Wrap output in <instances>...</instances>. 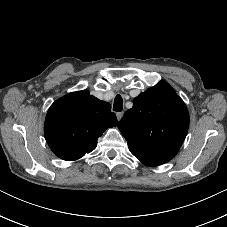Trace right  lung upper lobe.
I'll use <instances>...</instances> for the list:
<instances>
[{"label": "right lung upper lobe", "mask_w": 227, "mask_h": 227, "mask_svg": "<svg viewBox=\"0 0 227 227\" xmlns=\"http://www.w3.org/2000/svg\"><path fill=\"white\" fill-rule=\"evenodd\" d=\"M116 124L111 105L83 90L67 94L50 106L44 135L56 156L74 161L93 151L97 139Z\"/></svg>", "instance_id": "1"}]
</instances>
